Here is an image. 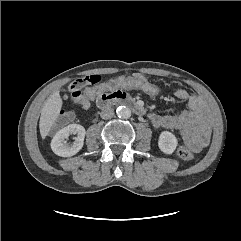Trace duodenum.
I'll return each mask as SVG.
<instances>
[{
	"label": "duodenum",
	"instance_id": "1",
	"mask_svg": "<svg viewBox=\"0 0 241 241\" xmlns=\"http://www.w3.org/2000/svg\"><path fill=\"white\" fill-rule=\"evenodd\" d=\"M96 104L101 109L107 108L111 105H125L139 115L144 114L143 107L122 91L101 94L97 98Z\"/></svg>",
	"mask_w": 241,
	"mask_h": 241
}]
</instances>
